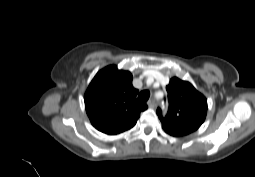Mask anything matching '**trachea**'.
<instances>
[{"instance_id": "trachea-1", "label": "trachea", "mask_w": 255, "mask_h": 177, "mask_svg": "<svg viewBox=\"0 0 255 177\" xmlns=\"http://www.w3.org/2000/svg\"><path fill=\"white\" fill-rule=\"evenodd\" d=\"M149 97H150V92L148 90H143L138 95V100L141 102H146L149 99Z\"/></svg>"}]
</instances>
